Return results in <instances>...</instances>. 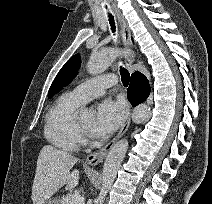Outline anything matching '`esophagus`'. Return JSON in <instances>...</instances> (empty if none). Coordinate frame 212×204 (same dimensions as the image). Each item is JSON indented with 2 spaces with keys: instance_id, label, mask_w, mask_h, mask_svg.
Returning a JSON list of instances; mask_svg holds the SVG:
<instances>
[{
  "instance_id": "1",
  "label": "esophagus",
  "mask_w": 212,
  "mask_h": 204,
  "mask_svg": "<svg viewBox=\"0 0 212 204\" xmlns=\"http://www.w3.org/2000/svg\"><path fill=\"white\" fill-rule=\"evenodd\" d=\"M117 17L119 21V26L121 29V38H122V43L125 49L127 50V54L125 56V65L127 69L129 70L130 73H133V56L131 54V33L128 28V24L124 17L117 12ZM131 110L130 109L124 123L122 124L119 132L117 135L107 144L105 145L102 149H100L98 152L92 153L87 156L86 161L89 165L95 166L99 164L100 162L103 161L105 156L107 155L108 151L113 147V145L119 140V138L126 132L130 125V117H131Z\"/></svg>"
}]
</instances>
